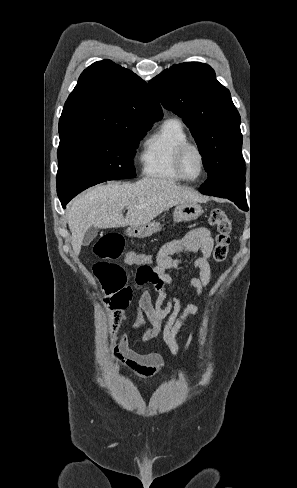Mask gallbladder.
<instances>
[{
  "instance_id": "bac80fb5",
  "label": "gallbladder",
  "mask_w": 297,
  "mask_h": 488,
  "mask_svg": "<svg viewBox=\"0 0 297 488\" xmlns=\"http://www.w3.org/2000/svg\"><path fill=\"white\" fill-rule=\"evenodd\" d=\"M97 234H98V228H96L94 226H91L90 228H88V230L86 231V233L84 235L83 245L84 246L89 245L90 242L97 236Z\"/></svg>"
}]
</instances>
